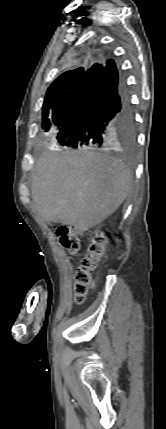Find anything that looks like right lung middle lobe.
<instances>
[{
    "label": "right lung middle lobe",
    "instance_id": "dd1d6c3e",
    "mask_svg": "<svg viewBox=\"0 0 166 429\" xmlns=\"http://www.w3.org/2000/svg\"><path fill=\"white\" fill-rule=\"evenodd\" d=\"M84 75H75L64 79L48 88L43 103L42 127L48 132L52 127L60 129L66 118L69 107L80 86ZM135 140L134 124L127 128H119L109 138L107 144L116 142L124 146H132Z\"/></svg>",
    "mask_w": 166,
    "mask_h": 429
}]
</instances>
